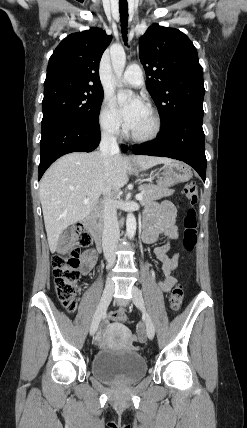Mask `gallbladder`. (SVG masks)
I'll return each instance as SVG.
<instances>
[{"instance_id": "1", "label": "gallbladder", "mask_w": 247, "mask_h": 428, "mask_svg": "<svg viewBox=\"0 0 247 428\" xmlns=\"http://www.w3.org/2000/svg\"><path fill=\"white\" fill-rule=\"evenodd\" d=\"M61 243H60V241L58 242V245H60Z\"/></svg>"}]
</instances>
